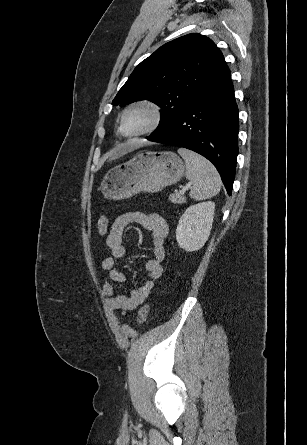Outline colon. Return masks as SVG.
<instances>
[{"mask_svg": "<svg viewBox=\"0 0 307 445\" xmlns=\"http://www.w3.org/2000/svg\"><path fill=\"white\" fill-rule=\"evenodd\" d=\"M109 227V218L107 215H101L97 219V232L100 236H103ZM150 310V305L145 304L143 307L140 308L138 311V324L142 325L148 316Z\"/></svg>", "mask_w": 307, "mask_h": 445, "instance_id": "colon-1", "label": "colon"}]
</instances>
